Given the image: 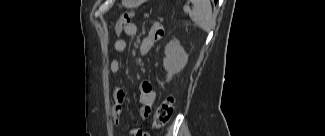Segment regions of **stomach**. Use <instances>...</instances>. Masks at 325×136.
Returning <instances> with one entry per match:
<instances>
[{"label":"stomach","mask_w":325,"mask_h":136,"mask_svg":"<svg viewBox=\"0 0 325 136\" xmlns=\"http://www.w3.org/2000/svg\"><path fill=\"white\" fill-rule=\"evenodd\" d=\"M123 4L127 7H133L142 2V0H123Z\"/></svg>","instance_id":"0dacf381"}]
</instances>
